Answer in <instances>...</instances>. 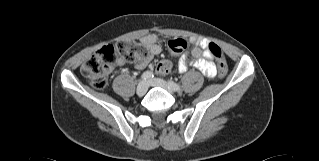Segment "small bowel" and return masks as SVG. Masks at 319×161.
<instances>
[{
    "label": "small bowel",
    "instance_id": "small-bowel-1",
    "mask_svg": "<svg viewBox=\"0 0 319 161\" xmlns=\"http://www.w3.org/2000/svg\"><path fill=\"white\" fill-rule=\"evenodd\" d=\"M159 37L157 35H147L143 37L139 42L140 45L146 50V57H143L138 63L137 67L142 69L147 66L149 60L160 52ZM191 43L195 45L190 55H183L178 61V71L184 73L188 70L189 64L199 70L208 78H214L217 74V67L212 62L211 53L208 49L209 42L204 39L190 38ZM125 64L123 58H119L116 61V66H122ZM168 70H162L159 68V63L156 64V72L158 74H166Z\"/></svg>",
    "mask_w": 319,
    "mask_h": 161
}]
</instances>
